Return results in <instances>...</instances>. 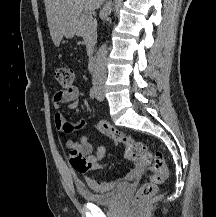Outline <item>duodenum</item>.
I'll return each instance as SVG.
<instances>
[{
	"label": "duodenum",
	"mask_w": 216,
	"mask_h": 217,
	"mask_svg": "<svg viewBox=\"0 0 216 217\" xmlns=\"http://www.w3.org/2000/svg\"><path fill=\"white\" fill-rule=\"evenodd\" d=\"M96 59L93 53L90 54L89 60H88V69L89 71H93L95 68Z\"/></svg>",
	"instance_id": "obj_1"
}]
</instances>
